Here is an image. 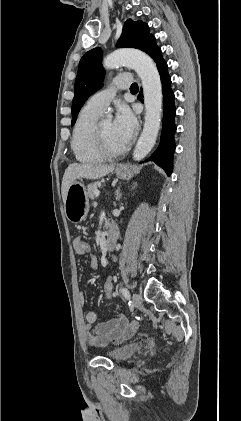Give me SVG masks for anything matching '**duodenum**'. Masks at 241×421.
<instances>
[{"mask_svg": "<svg viewBox=\"0 0 241 421\" xmlns=\"http://www.w3.org/2000/svg\"><path fill=\"white\" fill-rule=\"evenodd\" d=\"M117 238H118V229L116 226L112 225L104 241V246L106 250H112L114 248Z\"/></svg>", "mask_w": 241, "mask_h": 421, "instance_id": "410a0bca", "label": "duodenum"}]
</instances>
